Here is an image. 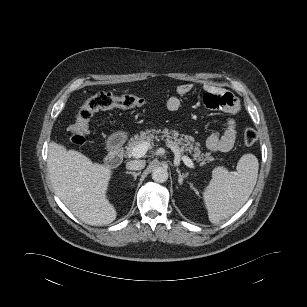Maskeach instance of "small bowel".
<instances>
[{
  "mask_svg": "<svg viewBox=\"0 0 307 307\" xmlns=\"http://www.w3.org/2000/svg\"><path fill=\"white\" fill-rule=\"evenodd\" d=\"M192 90V84L185 83L178 85L175 95L166 101V108L171 112L177 111L181 106L183 97L188 95ZM204 91L203 102L208 108L225 109L230 113H235L237 101L232 94L224 92L223 89L211 84L205 85ZM236 130V120L229 117L227 119L226 129L222 134L215 132L208 137L206 142L207 148L212 152L230 151L236 140Z\"/></svg>",
  "mask_w": 307,
  "mask_h": 307,
  "instance_id": "small-bowel-1",
  "label": "small bowel"
}]
</instances>
